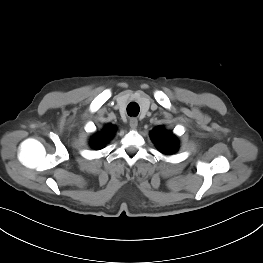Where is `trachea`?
<instances>
[{
    "label": "trachea",
    "instance_id": "obj_1",
    "mask_svg": "<svg viewBox=\"0 0 263 263\" xmlns=\"http://www.w3.org/2000/svg\"><path fill=\"white\" fill-rule=\"evenodd\" d=\"M140 107L136 102H131L127 106V114L129 116H137L139 114Z\"/></svg>",
    "mask_w": 263,
    "mask_h": 263
}]
</instances>
